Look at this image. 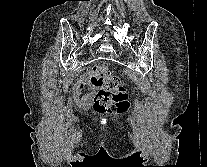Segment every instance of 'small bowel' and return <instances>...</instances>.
<instances>
[{
	"label": "small bowel",
	"instance_id": "obj_1",
	"mask_svg": "<svg viewBox=\"0 0 207 167\" xmlns=\"http://www.w3.org/2000/svg\"><path fill=\"white\" fill-rule=\"evenodd\" d=\"M86 92L81 96L82 90ZM96 93V88L91 84L89 76H83L73 87L72 95L76 103L82 107L87 108L91 104V101Z\"/></svg>",
	"mask_w": 207,
	"mask_h": 167
}]
</instances>
